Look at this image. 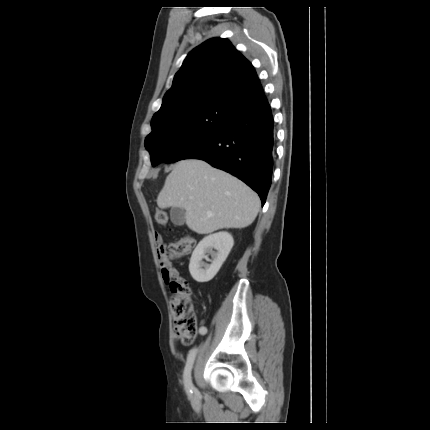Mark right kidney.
<instances>
[{
  "mask_svg": "<svg viewBox=\"0 0 430 430\" xmlns=\"http://www.w3.org/2000/svg\"><path fill=\"white\" fill-rule=\"evenodd\" d=\"M234 244V240L228 232H219L203 238L192 253L189 272L198 283L212 280L220 270ZM217 252H212V249ZM206 253H211L212 263L209 265L202 260L207 259Z\"/></svg>",
  "mask_w": 430,
  "mask_h": 430,
  "instance_id": "ca27d5eb",
  "label": "right kidney"
}]
</instances>
